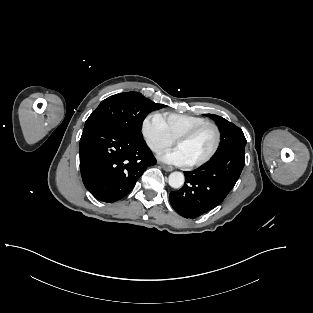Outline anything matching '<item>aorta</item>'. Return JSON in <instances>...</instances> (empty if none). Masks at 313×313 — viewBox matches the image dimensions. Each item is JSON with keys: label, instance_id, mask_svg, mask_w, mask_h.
Returning <instances> with one entry per match:
<instances>
[{"label": "aorta", "instance_id": "1", "mask_svg": "<svg viewBox=\"0 0 313 313\" xmlns=\"http://www.w3.org/2000/svg\"><path fill=\"white\" fill-rule=\"evenodd\" d=\"M185 177L182 172H172L169 175L168 183L172 188L178 189L181 188L184 184Z\"/></svg>", "mask_w": 313, "mask_h": 313}]
</instances>
